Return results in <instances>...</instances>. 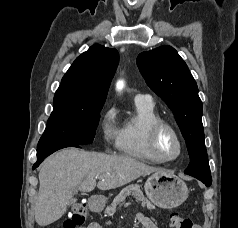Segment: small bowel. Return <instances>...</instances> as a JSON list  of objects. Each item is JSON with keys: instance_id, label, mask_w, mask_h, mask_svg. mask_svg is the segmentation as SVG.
Here are the masks:
<instances>
[{"instance_id": "obj_1", "label": "small bowel", "mask_w": 238, "mask_h": 228, "mask_svg": "<svg viewBox=\"0 0 238 228\" xmlns=\"http://www.w3.org/2000/svg\"><path fill=\"white\" fill-rule=\"evenodd\" d=\"M137 219L142 224L143 228H158L153 220L143 213H138ZM85 228H101V226L97 222H91Z\"/></svg>"}]
</instances>
